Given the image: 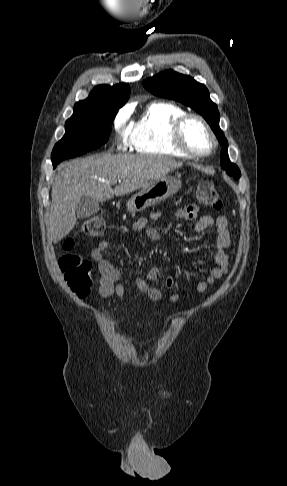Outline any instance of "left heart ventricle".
I'll list each match as a JSON object with an SVG mask.
<instances>
[{"instance_id": "1", "label": "left heart ventricle", "mask_w": 287, "mask_h": 486, "mask_svg": "<svg viewBox=\"0 0 287 486\" xmlns=\"http://www.w3.org/2000/svg\"><path fill=\"white\" fill-rule=\"evenodd\" d=\"M184 138L187 145L197 152H205L211 146V140L208 134L201 124L195 120L188 122L185 126Z\"/></svg>"}]
</instances>
